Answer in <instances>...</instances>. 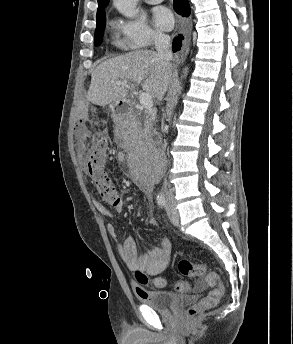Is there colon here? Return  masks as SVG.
<instances>
[{"label":"colon","mask_w":293,"mask_h":344,"mask_svg":"<svg viewBox=\"0 0 293 344\" xmlns=\"http://www.w3.org/2000/svg\"><path fill=\"white\" fill-rule=\"evenodd\" d=\"M108 147L109 142L106 138L101 137L97 139L87 156L86 166L89 177L95 184L100 196L106 202L118 205L121 200L119 192L106 171ZM178 270L182 275L194 278H201L206 273L204 264H193L188 260H181L178 263ZM135 278L140 284H145L148 281L147 276L141 270L135 271ZM207 278L209 281L217 282L218 284L205 298L188 308L187 316L190 319H194L202 312L215 307L225 293V287L219 281L216 273H209ZM154 283L160 287L166 284L165 280L161 278L155 279ZM181 286L182 283H179L178 287Z\"/></svg>","instance_id":"1"}]
</instances>
